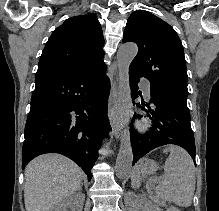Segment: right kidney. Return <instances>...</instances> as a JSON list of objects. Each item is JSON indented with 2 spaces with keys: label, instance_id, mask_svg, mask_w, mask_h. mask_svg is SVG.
<instances>
[{
  "label": "right kidney",
  "instance_id": "ca27d5eb",
  "mask_svg": "<svg viewBox=\"0 0 219 211\" xmlns=\"http://www.w3.org/2000/svg\"><path fill=\"white\" fill-rule=\"evenodd\" d=\"M83 201L84 199H75L73 195H70L68 199H61V201H58V203L52 207V211H67L66 207H74L75 209V203H83Z\"/></svg>",
  "mask_w": 219,
  "mask_h": 211
}]
</instances>
